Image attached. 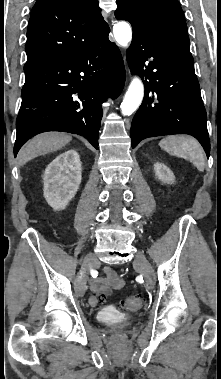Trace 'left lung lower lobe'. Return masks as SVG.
Listing matches in <instances>:
<instances>
[{
	"label": "left lung lower lobe",
	"mask_w": 221,
	"mask_h": 379,
	"mask_svg": "<svg viewBox=\"0 0 221 379\" xmlns=\"http://www.w3.org/2000/svg\"><path fill=\"white\" fill-rule=\"evenodd\" d=\"M127 60L145 85V98L131 125L132 148L148 137L189 134L209 157L207 116L192 55L133 31Z\"/></svg>",
	"instance_id": "1"
}]
</instances>
